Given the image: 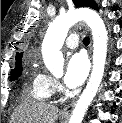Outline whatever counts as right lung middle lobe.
<instances>
[{"label": "right lung middle lobe", "instance_id": "1", "mask_svg": "<svg viewBox=\"0 0 122 123\" xmlns=\"http://www.w3.org/2000/svg\"><path fill=\"white\" fill-rule=\"evenodd\" d=\"M21 73H22V65L16 66L14 69L11 70L10 80L11 81L16 80L18 77L21 76Z\"/></svg>", "mask_w": 122, "mask_h": 123}]
</instances>
